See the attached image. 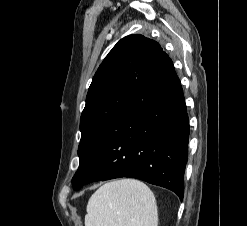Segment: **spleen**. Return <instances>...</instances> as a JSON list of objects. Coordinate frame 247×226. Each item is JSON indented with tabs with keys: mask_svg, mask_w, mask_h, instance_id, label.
I'll return each instance as SVG.
<instances>
[{
	"mask_svg": "<svg viewBox=\"0 0 247 226\" xmlns=\"http://www.w3.org/2000/svg\"><path fill=\"white\" fill-rule=\"evenodd\" d=\"M157 223L154 194L135 179L105 183L87 204L85 226H157Z\"/></svg>",
	"mask_w": 247,
	"mask_h": 226,
	"instance_id": "3e777b00",
	"label": "spleen"
}]
</instances>
